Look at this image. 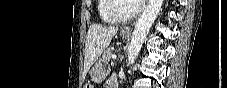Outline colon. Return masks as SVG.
<instances>
[{
	"label": "colon",
	"mask_w": 227,
	"mask_h": 88,
	"mask_svg": "<svg viewBox=\"0 0 227 88\" xmlns=\"http://www.w3.org/2000/svg\"><path fill=\"white\" fill-rule=\"evenodd\" d=\"M86 87L90 88L91 86L90 85H87Z\"/></svg>",
	"instance_id": "obj_1"
}]
</instances>
